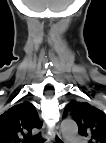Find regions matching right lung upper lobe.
I'll return each mask as SVG.
<instances>
[{"label": "right lung upper lobe", "instance_id": "1", "mask_svg": "<svg viewBox=\"0 0 106 143\" xmlns=\"http://www.w3.org/2000/svg\"><path fill=\"white\" fill-rule=\"evenodd\" d=\"M41 127L35 107L24 101L0 115V143H22L31 135L32 129Z\"/></svg>", "mask_w": 106, "mask_h": 143}]
</instances>
